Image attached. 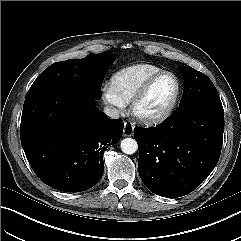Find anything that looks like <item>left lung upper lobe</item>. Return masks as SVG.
<instances>
[{
  "label": "left lung upper lobe",
  "mask_w": 241,
  "mask_h": 241,
  "mask_svg": "<svg viewBox=\"0 0 241 241\" xmlns=\"http://www.w3.org/2000/svg\"><path fill=\"white\" fill-rule=\"evenodd\" d=\"M184 77V91L179 107L198 101L221 103L212 81L203 73L190 66L180 65Z\"/></svg>",
  "instance_id": "left-lung-upper-lobe-1"
}]
</instances>
